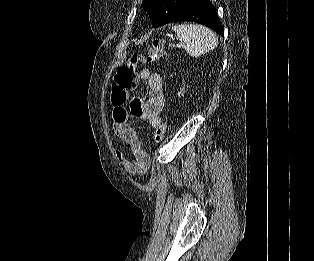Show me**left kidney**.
<instances>
[{"label": "left kidney", "mask_w": 314, "mask_h": 261, "mask_svg": "<svg viewBox=\"0 0 314 261\" xmlns=\"http://www.w3.org/2000/svg\"><path fill=\"white\" fill-rule=\"evenodd\" d=\"M181 95H183V93L182 92H178V96L180 97Z\"/></svg>", "instance_id": "obj_1"}]
</instances>
